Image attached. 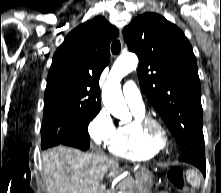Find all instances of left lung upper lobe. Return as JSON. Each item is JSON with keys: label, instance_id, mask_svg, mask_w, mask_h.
Segmentation results:
<instances>
[{"label": "left lung upper lobe", "instance_id": "1", "mask_svg": "<svg viewBox=\"0 0 221 193\" xmlns=\"http://www.w3.org/2000/svg\"><path fill=\"white\" fill-rule=\"evenodd\" d=\"M139 57L142 91L159 112L182 150L204 143L197 63L184 33L156 13H144L123 29Z\"/></svg>", "mask_w": 221, "mask_h": 193}]
</instances>
